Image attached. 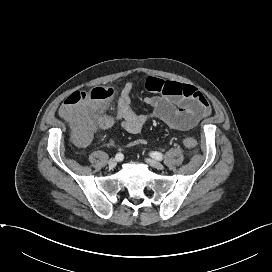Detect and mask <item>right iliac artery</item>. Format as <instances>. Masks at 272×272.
<instances>
[{
    "label": "right iliac artery",
    "instance_id": "1",
    "mask_svg": "<svg viewBox=\"0 0 272 272\" xmlns=\"http://www.w3.org/2000/svg\"><path fill=\"white\" fill-rule=\"evenodd\" d=\"M115 159H116L117 161L123 160V154H121V153L116 154Z\"/></svg>",
    "mask_w": 272,
    "mask_h": 272
}]
</instances>
